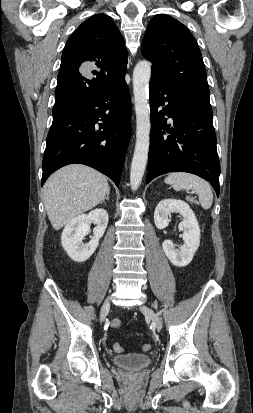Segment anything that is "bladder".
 Segmentation results:
<instances>
[{
    "instance_id": "bladder-1",
    "label": "bladder",
    "mask_w": 253,
    "mask_h": 413,
    "mask_svg": "<svg viewBox=\"0 0 253 413\" xmlns=\"http://www.w3.org/2000/svg\"><path fill=\"white\" fill-rule=\"evenodd\" d=\"M153 359L148 354L143 353H129L115 355L112 358L114 365L130 370H140L151 365Z\"/></svg>"
}]
</instances>
